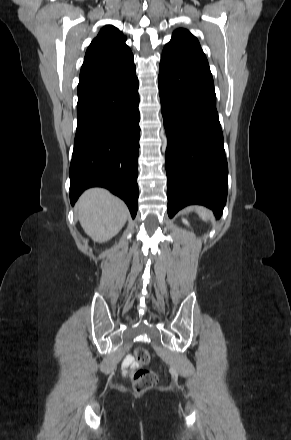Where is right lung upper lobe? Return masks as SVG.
<instances>
[{
    "label": "right lung upper lobe",
    "mask_w": 291,
    "mask_h": 440,
    "mask_svg": "<svg viewBox=\"0 0 291 440\" xmlns=\"http://www.w3.org/2000/svg\"><path fill=\"white\" fill-rule=\"evenodd\" d=\"M126 37L114 26L103 27L89 45L79 83L112 78L135 68Z\"/></svg>",
    "instance_id": "1"
}]
</instances>
